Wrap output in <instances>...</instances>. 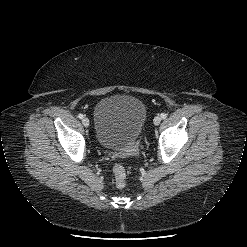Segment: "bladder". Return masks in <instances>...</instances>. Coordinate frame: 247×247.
<instances>
[{"label":"bladder","mask_w":247,"mask_h":247,"mask_svg":"<svg viewBox=\"0 0 247 247\" xmlns=\"http://www.w3.org/2000/svg\"><path fill=\"white\" fill-rule=\"evenodd\" d=\"M143 102L131 95L101 99L94 109L95 139L105 149L128 155L136 147L146 121Z\"/></svg>","instance_id":"1"}]
</instances>
